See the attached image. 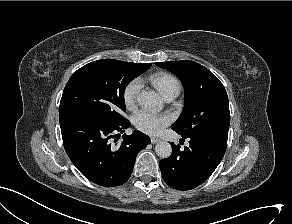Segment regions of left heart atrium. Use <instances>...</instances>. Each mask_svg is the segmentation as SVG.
Segmentation results:
<instances>
[{"label": "left heart atrium", "instance_id": "39dd6f15", "mask_svg": "<svg viewBox=\"0 0 292 224\" xmlns=\"http://www.w3.org/2000/svg\"><path fill=\"white\" fill-rule=\"evenodd\" d=\"M133 123L142 132L156 134L169 123V119L165 115H157L149 110H142L135 114Z\"/></svg>", "mask_w": 292, "mask_h": 224}]
</instances>
